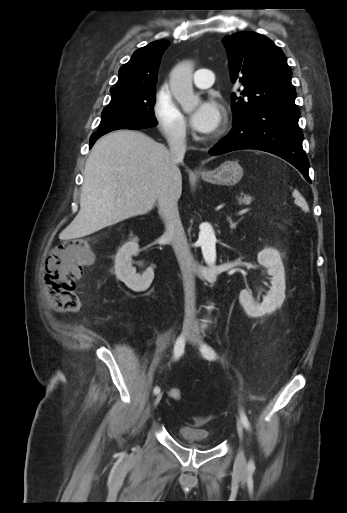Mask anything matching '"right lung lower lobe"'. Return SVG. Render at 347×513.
<instances>
[{"label": "right lung lower lobe", "instance_id": "98d812e1", "mask_svg": "<svg viewBox=\"0 0 347 513\" xmlns=\"http://www.w3.org/2000/svg\"><path fill=\"white\" fill-rule=\"evenodd\" d=\"M141 128H144V127H141V126H136V125H123V126H118V127H114V128H110V129H106V130H103V131H97L96 133L92 134L91 137H90V148L93 146V144L95 143V141L101 137L102 135L108 133V132H111V131H114V130H118V129H132V130H137V129H141Z\"/></svg>", "mask_w": 347, "mask_h": 513}]
</instances>
